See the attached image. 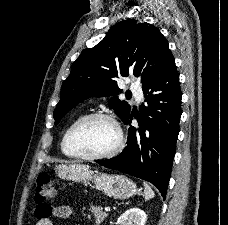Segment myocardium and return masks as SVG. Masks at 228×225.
<instances>
[{"mask_svg": "<svg viewBox=\"0 0 228 225\" xmlns=\"http://www.w3.org/2000/svg\"><path fill=\"white\" fill-rule=\"evenodd\" d=\"M92 118H100V119L106 120L110 124H112V126L114 127L116 134H117L116 145L111 150H109L108 152L103 153V154H99V155H83V154H76V153L70 152L68 145H69V139H70L72 132L82 122H84L88 119H92ZM124 144H125L124 136H123V132H122V129H121L119 123L110 115L100 113V112L88 113V114L80 116L66 130V132L64 134V138H63L64 150L69 157L76 158V159H82V160H90V161L111 158V157L117 155L118 153H120L122 151V149L124 148Z\"/></svg>", "mask_w": 228, "mask_h": 225, "instance_id": "1", "label": "myocardium"}]
</instances>
